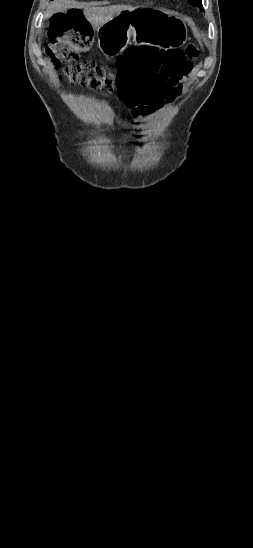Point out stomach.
Segmentation results:
<instances>
[{"mask_svg": "<svg viewBox=\"0 0 253 548\" xmlns=\"http://www.w3.org/2000/svg\"><path fill=\"white\" fill-rule=\"evenodd\" d=\"M98 46L106 56L121 54L130 44L179 46L186 27L178 17L160 11L135 8L123 11L97 29Z\"/></svg>", "mask_w": 253, "mask_h": 548, "instance_id": "1", "label": "stomach"}]
</instances>
